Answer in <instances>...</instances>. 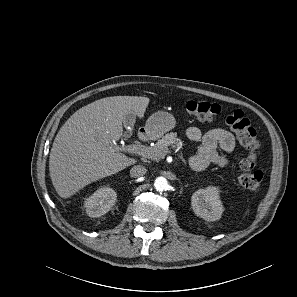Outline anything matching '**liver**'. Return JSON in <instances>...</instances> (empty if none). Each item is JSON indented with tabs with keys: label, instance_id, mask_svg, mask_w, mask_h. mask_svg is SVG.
<instances>
[{
	"label": "liver",
	"instance_id": "6515ba94",
	"mask_svg": "<svg viewBox=\"0 0 297 297\" xmlns=\"http://www.w3.org/2000/svg\"><path fill=\"white\" fill-rule=\"evenodd\" d=\"M149 98L113 96L78 109L57 133L49 156L52 184L61 198H69L86 185L133 165L136 159L117 152L113 142L123 133V119H140Z\"/></svg>",
	"mask_w": 297,
	"mask_h": 297
}]
</instances>
